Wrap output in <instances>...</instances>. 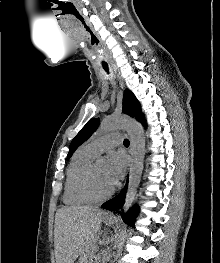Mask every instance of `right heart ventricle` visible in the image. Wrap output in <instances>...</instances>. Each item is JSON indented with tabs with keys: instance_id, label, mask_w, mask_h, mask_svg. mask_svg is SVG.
I'll return each instance as SVG.
<instances>
[{
	"instance_id": "e07e8e85",
	"label": "right heart ventricle",
	"mask_w": 220,
	"mask_h": 263,
	"mask_svg": "<svg viewBox=\"0 0 220 263\" xmlns=\"http://www.w3.org/2000/svg\"><path fill=\"white\" fill-rule=\"evenodd\" d=\"M95 155L85 146L72 157L66 171L63 201L66 205L79 206L91 203L93 200L83 190V178Z\"/></svg>"
}]
</instances>
